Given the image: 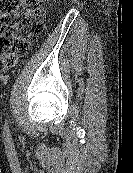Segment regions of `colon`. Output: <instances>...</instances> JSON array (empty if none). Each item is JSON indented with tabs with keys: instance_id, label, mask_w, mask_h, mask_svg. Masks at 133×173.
<instances>
[{
	"instance_id": "colon-1",
	"label": "colon",
	"mask_w": 133,
	"mask_h": 173,
	"mask_svg": "<svg viewBox=\"0 0 133 173\" xmlns=\"http://www.w3.org/2000/svg\"><path fill=\"white\" fill-rule=\"evenodd\" d=\"M38 0H0V60L5 69L26 55L44 28Z\"/></svg>"
}]
</instances>
